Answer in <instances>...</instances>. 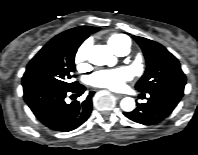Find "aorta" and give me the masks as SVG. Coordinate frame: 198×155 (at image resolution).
<instances>
[{
	"label": "aorta",
	"instance_id": "obj_1",
	"mask_svg": "<svg viewBox=\"0 0 198 155\" xmlns=\"http://www.w3.org/2000/svg\"><path fill=\"white\" fill-rule=\"evenodd\" d=\"M88 60L90 63L97 66H112L115 64V58L113 57L112 52L104 45H94L88 52ZM120 106L122 110L131 112L135 108V101L131 97H125L121 100Z\"/></svg>",
	"mask_w": 198,
	"mask_h": 155
}]
</instances>
